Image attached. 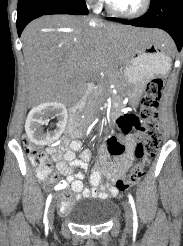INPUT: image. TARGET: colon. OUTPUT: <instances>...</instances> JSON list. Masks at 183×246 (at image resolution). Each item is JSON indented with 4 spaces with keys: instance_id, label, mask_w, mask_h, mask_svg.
<instances>
[{
    "instance_id": "colon-1",
    "label": "colon",
    "mask_w": 183,
    "mask_h": 246,
    "mask_svg": "<svg viewBox=\"0 0 183 246\" xmlns=\"http://www.w3.org/2000/svg\"><path fill=\"white\" fill-rule=\"evenodd\" d=\"M163 81L160 78L152 79L141 99L138 115L123 114L117 119L118 131L107 139V149L112 157H122L127 148L118 138L125 137L133 131L141 132L144 136L136 147L137 163L126 178H119L115 182L118 191L136 184L145 174L150 160L157 153L161 142V131L158 121V107L162 96ZM26 151L31 162L37 167L38 176L45 180L50 175V168L44 150L36 148L25 141ZM67 206L60 200L59 210L64 212Z\"/></svg>"
}]
</instances>
